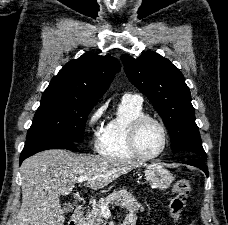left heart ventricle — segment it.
<instances>
[{
  "instance_id": "obj_1",
  "label": "left heart ventricle",
  "mask_w": 228,
  "mask_h": 225,
  "mask_svg": "<svg viewBox=\"0 0 228 225\" xmlns=\"http://www.w3.org/2000/svg\"><path fill=\"white\" fill-rule=\"evenodd\" d=\"M163 132L161 128L154 122H147L142 128L139 136V143L145 154H155L159 152L163 146Z\"/></svg>"
}]
</instances>
